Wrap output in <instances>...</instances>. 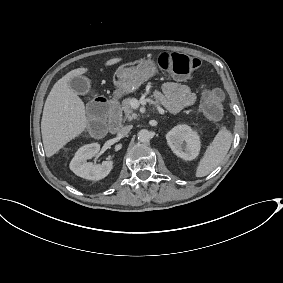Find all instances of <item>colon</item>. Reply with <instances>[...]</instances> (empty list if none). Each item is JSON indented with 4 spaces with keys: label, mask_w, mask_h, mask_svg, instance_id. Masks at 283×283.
<instances>
[{
    "label": "colon",
    "mask_w": 283,
    "mask_h": 283,
    "mask_svg": "<svg viewBox=\"0 0 283 283\" xmlns=\"http://www.w3.org/2000/svg\"><path fill=\"white\" fill-rule=\"evenodd\" d=\"M159 65L167 72L186 77L194 72L200 65L198 59L179 53H162ZM202 109L210 120H218L223 112V91L219 87L205 89L202 93ZM108 107L106 99L95 96L88 105L91 130L100 133L103 130V120Z\"/></svg>",
    "instance_id": "5ec220e1"
}]
</instances>
